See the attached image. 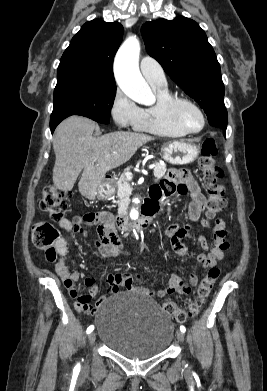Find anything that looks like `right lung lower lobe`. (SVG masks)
<instances>
[{
	"mask_svg": "<svg viewBox=\"0 0 267 391\" xmlns=\"http://www.w3.org/2000/svg\"><path fill=\"white\" fill-rule=\"evenodd\" d=\"M62 120H58V121H55V122H50V128H51V132L53 133L56 126L61 122Z\"/></svg>",
	"mask_w": 267,
	"mask_h": 391,
	"instance_id": "98d812e1",
	"label": "right lung lower lobe"
}]
</instances>
